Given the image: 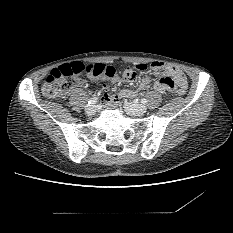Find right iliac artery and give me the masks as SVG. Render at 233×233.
<instances>
[{
    "label": "right iliac artery",
    "mask_w": 233,
    "mask_h": 233,
    "mask_svg": "<svg viewBox=\"0 0 233 233\" xmlns=\"http://www.w3.org/2000/svg\"><path fill=\"white\" fill-rule=\"evenodd\" d=\"M98 98L97 97H92L89 101L88 104H95L97 102Z\"/></svg>",
    "instance_id": "1"
}]
</instances>
